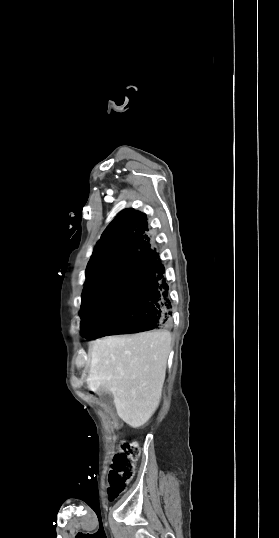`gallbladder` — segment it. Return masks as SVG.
Here are the masks:
<instances>
[{"label":"gallbladder","instance_id":"1","mask_svg":"<svg viewBox=\"0 0 279 538\" xmlns=\"http://www.w3.org/2000/svg\"><path fill=\"white\" fill-rule=\"evenodd\" d=\"M102 396H106L107 398L105 399V404L107 405L106 406V409L108 412L110 413H113L116 411L117 409V406L116 404L114 403V399L112 397H109V394H102Z\"/></svg>","mask_w":279,"mask_h":538}]
</instances>
